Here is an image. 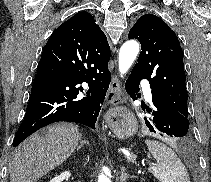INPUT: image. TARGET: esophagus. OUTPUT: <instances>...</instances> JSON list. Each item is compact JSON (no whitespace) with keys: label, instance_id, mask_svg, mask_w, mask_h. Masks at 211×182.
<instances>
[{"label":"esophagus","instance_id":"1","mask_svg":"<svg viewBox=\"0 0 211 182\" xmlns=\"http://www.w3.org/2000/svg\"><path fill=\"white\" fill-rule=\"evenodd\" d=\"M106 100L108 103L114 106L119 105L126 100V96L121 88V82L117 76H113L112 78L106 95Z\"/></svg>","mask_w":211,"mask_h":182}]
</instances>
